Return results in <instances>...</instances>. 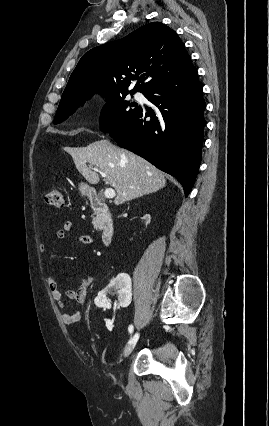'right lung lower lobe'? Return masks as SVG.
I'll return each mask as SVG.
<instances>
[{"label": "right lung lower lobe", "instance_id": "obj_1", "mask_svg": "<svg viewBox=\"0 0 269 426\" xmlns=\"http://www.w3.org/2000/svg\"><path fill=\"white\" fill-rule=\"evenodd\" d=\"M194 66L153 86L144 96L156 112L139 107L118 128L110 131L120 147L145 158L174 176L187 196L201 162L206 107Z\"/></svg>", "mask_w": 269, "mask_h": 426}]
</instances>
